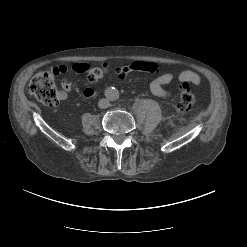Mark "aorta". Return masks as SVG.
I'll return each instance as SVG.
<instances>
[{
    "label": "aorta",
    "mask_w": 247,
    "mask_h": 247,
    "mask_svg": "<svg viewBox=\"0 0 247 247\" xmlns=\"http://www.w3.org/2000/svg\"><path fill=\"white\" fill-rule=\"evenodd\" d=\"M105 95L110 101H115L119 98V91L115 87H109L105 90Z\"/></svg>",
    "instance_id": "obj_1"
}]
</instances>
